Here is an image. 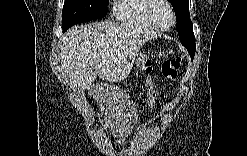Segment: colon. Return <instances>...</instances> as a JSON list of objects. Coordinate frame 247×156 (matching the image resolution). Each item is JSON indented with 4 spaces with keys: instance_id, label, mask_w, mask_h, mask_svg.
Here are the masks:
<instances>
[{
    "instance_id": "1",
    "label": "colon",
    "mask_w": 247,
    "mask_h": 156,
    "mask_svg": "<svg viewBox=\"0 0 247 156\" xmlns=\"http://www.w3.org/2000/svg\"><path fill=\"white\" fill-rule=\"evenodd\" d=\"M180 66L181 59L179 57L166 60L161 65V73L166 79L174 81L178 76Z\"/></svg>"
}]
</instances>
